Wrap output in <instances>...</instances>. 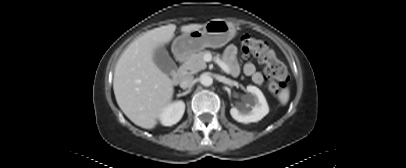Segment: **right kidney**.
<instances>
[{
	"label": "right kidney",
	"mask_w": 406,
	"mask_h": 168,
	"mask_svg": "<svg viewBox=\"0 0 406 168\" xmlns=\"http://www.w3.org/2000/svg\"><path fill=\"white\" fill-rule=\"evenodd\" d=\"M185 112L183 101H176L169 104L159 116V120L164 126H172L180 121Z\"/></svg>",
	"instance_id": "right-kidney-1"
}]
</instances>
